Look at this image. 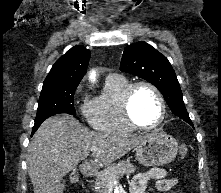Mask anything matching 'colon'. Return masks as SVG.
Instances as JSON below:
<instances>
[{
	"instance_id": "colon-1",
	"label": "colon",
	"mask_w": 221,
	"mask_h": 193,
	"mask_svg": "<svg viewBox=\"0 0 221 193\" xmlns=\"http://www.w3.org/2000/svg\"><path fill=\"white\" fill-rule=\"evenodd\" d=\"M187 151H188L187 146L186 145H182L181 148H180V156L183 158L187 154ZM71 179L73 181H76L77 180V176L75 174H72L71 175Z\"/></svg>"
}]
</instances>
